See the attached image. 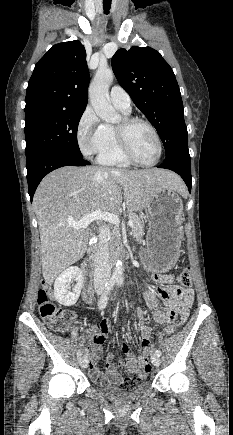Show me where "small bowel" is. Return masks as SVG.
<instances>
[{"label":"small bowel","mask_w":233,"mask_h":435,"mask_svg":"<svg viewBox=\"0 0 233 435\" xmlns=\"http://www.w3.org/2000/svg\"><path fill=\"white\" fill-rule=\"evenodd\" d=\"M151 277L159 282V285L148 288L143 297L148 306L153 311L154 319L157 323L163 324L169 320L166 327L158 331L159 334H169L174 327L183 322V310L189 308L193 302L192 288H184L179 285H174V277L171 274L152 273ZM136 315L145 322L144 313L140 310L136 311ZM178 316L179 319H178ZM111 321L103 318L100 321L99 327L89 325L82 331L81 348L90 357L89 365L90 375L96 384L103 383H122L123 378L121 373L113 368V354L109 353L105 362V373H102L97 367L96 362L102 352V345L111 330ZM140 335L142 341V350L138 358L130 353V347L126 340H121L120 346L125 353V359L116 361L117 367H125L128 372H136L145 365V360L149 355L151 348L149 341L153 333V328L147 324L140 326ZM96 336L93 343L90 342L91 337ZM149 371L144 370L138 373L137 380H143L148 375Z\"/></svg>","instance_id":"c3829d8e"}]
</instances>
